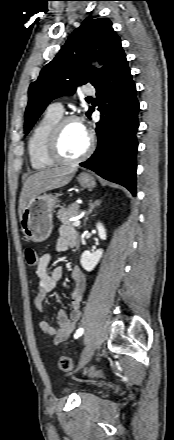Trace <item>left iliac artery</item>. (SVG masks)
Instances as JSON below:
<instances>
[{
  "label": "left iliac artery",
  "instance_id": "left-iliac-artery-1",
  "mask_svg": "<svg viewBox=\"0 0 174 440\" xmlns=\"http://www.w3.org/2000/svg\"><path fill=\"white\" fill-rule=\"evenodd\" d=\"M83 333H84V329H83V328H79V329L76 331L74 337H75V338H78V337H80Z\"/></svg>",
  "mask_w": 174,
  "mask_h": 440
}]
</instances>
